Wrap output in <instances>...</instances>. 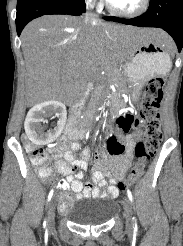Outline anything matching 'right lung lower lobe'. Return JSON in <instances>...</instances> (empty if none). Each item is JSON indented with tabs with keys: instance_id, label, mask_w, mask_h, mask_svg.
Segmentation results:
<instances>
[{
	"instance_id": "obj_1",
	"label": "right lung lower lobe",
	"mask_w": 183,
	"mask_h": 246,
	"mask_svg": "<svg viewBox=\"0 0 183 246\" xmlns=\"http://www.w3.org/2000/svg\"><path fill=\"white\" fill-rule=\"evenodd\" d=\"M85 12L84 0H18L16 28L18 36L31 20L51 14L81 15Z\"/></svg>"
}]
</instances>
